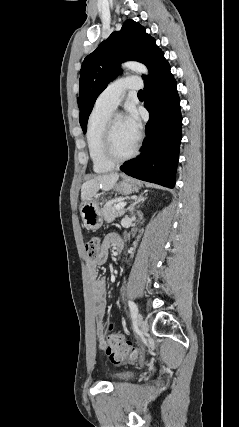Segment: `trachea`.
<instances>
[{
	"mask_svg": "<svg viewBox=\"0 0 239 427\" xmlns=\"http://www.w3.org/2000/svg\"><path fill=\"white\" fill-rule=\"evenodd\" d=\"M138 96H144V91H143V90H140V91L138 92Z\"/></svg>",
	"mask_w": 239,
	"mask_h": 427,
	"instance_id": "3493384b",
	"label": "trachea"
}]
</instances>
